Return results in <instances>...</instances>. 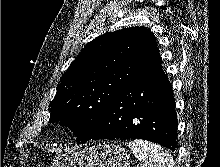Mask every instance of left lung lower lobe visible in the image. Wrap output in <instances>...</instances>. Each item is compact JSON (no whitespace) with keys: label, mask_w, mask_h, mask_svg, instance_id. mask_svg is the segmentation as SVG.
I'll return each instance as SVG.
<instances>
[{"label":"left lung lower lobe","mask_w":220,"mask_h":167,"mask_svg":"<svg viewBox=\"0 0 220 167\" xmlns=\"http://www.w3.org/2000/svg\"><path fill=\"white\" fill-rule=\"evenodd\" d=\"M137 138L176 148L177 117L172 86L161 65L123 86L89 140Z\"/></svg>","instance_id":"1"}]
</instances>
